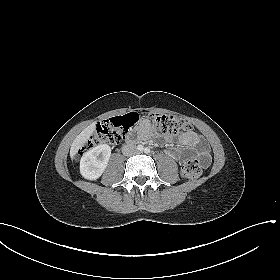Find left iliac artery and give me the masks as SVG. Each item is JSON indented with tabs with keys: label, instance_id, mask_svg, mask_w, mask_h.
Segmentation results:
<instances>
[{
	"label": "left iliac artery",
	"instance_id": "44dca946",
	"mask_svg": "<svg viewBox=\"0 0 280 280\" xmlns=\"http://www.w3.org/2000/svg\"><path fill=\"white\" fill-rule=\"evenodd\" d=\"M144 152H145V153H150V149H149L148 147H146V148L144 149Z\"/></svg>",
	"mask_w": 280,
	"mask_h": 280
}]
</instances>
